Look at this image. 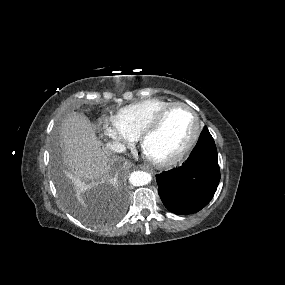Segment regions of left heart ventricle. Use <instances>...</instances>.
<instances>
[{
    "instance_id": "b2bd125f",
    "label": "left heart ventricle",
    "mask_w": 285,
    "mask_h": 285,
    "mask_svg": "<svg viewBox=\"0 0 285 285\" xmlns=\"http://www.w3.org/2000/svg\"><path fill=\"white\" fill-rule=\"evenodd\" d=\"M195 129V121L184 108L173 109L160 127L144 141V153L164 160L176 155L188 143Z\"/></svg>"
}]
</instances>
